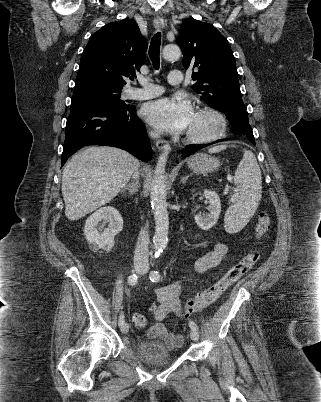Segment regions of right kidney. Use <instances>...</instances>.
Returning a JSON list of instances; mask_svg holds the SVG:
<instances>
[{
    "label": "right kidney",
    "mask_w": 321,
    "mask_h": 402,
    "mask_svg": "<svg viewBox=\"0 0 321 402\" xmlns=\"http://www.w3.org/2000/svg\"><path fill=\"white\" fill-rule=\"evenodd\" d=\"M105 223H108V227L102 231ZM122 229L123 219L120 213L112 206H105L88 217L84 227V235L90 245L110 251L114 246V237Z\"/></svg>",
    "instance_id": "obj_1"
}]
</instances>
